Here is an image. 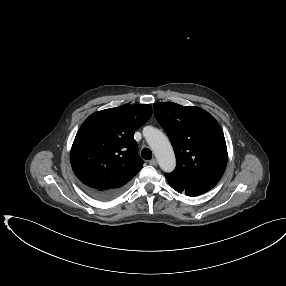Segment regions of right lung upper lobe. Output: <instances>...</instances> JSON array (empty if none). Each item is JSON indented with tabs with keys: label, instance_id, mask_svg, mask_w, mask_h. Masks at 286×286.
Masks as SVG:
<instances>
[{
	"label": "right lung upper lobe",
	"instance_id": "cb5924a9",
	"mask_svg": "<svg viewBox=\"0 0 286 286\" xmlns=\"http://www.w3.org/2000/svg\"><path fill=\"white\" fill-rule=\"evenodd\" d=\"M151 115L150 104H128L95 112L83 122L70 159L84 186L98 190L126 188L144 163L134 133Z\"/></svg>",
	"mask_w": 286,
	"mask_h": 286
}]
</instances>
